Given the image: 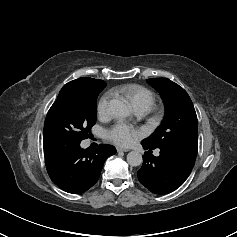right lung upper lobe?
<instances>
[{"label": "right lung upper lobe", "instance_id": "obj_1", "mask_svg": "<svg viewBox=\"0 0 237 237\" xmlns=\"http://www.w3.org/2000/svg\"><path fill=\"white\" fill-rule=\"evenodd\" d=\"M76 80H78L82 83L88 84V85H98V84H102L104 82L103 80L93 79V78H89V77H83V78H79Z\"/></svg>", "mask_w": 237, "mask_h": 237}]
</instances>
